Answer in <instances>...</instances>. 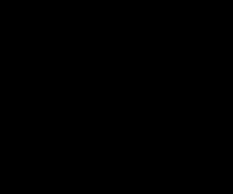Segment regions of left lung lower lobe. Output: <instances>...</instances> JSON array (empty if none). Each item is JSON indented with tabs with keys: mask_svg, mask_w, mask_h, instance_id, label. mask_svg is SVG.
<instances>
[{
	"mask_svg": "<svg viewBox=\"0 0 233 194\" xmlns=\"http://www.w3.org/2000/svg\"><path fill=\"white\" fill-rule=\"evenodd\" d=\"M180 157L179 152H159L155 159L151 161V165L156 169H162L172 162H175Z\"/></svg>",
	"mask_w": 233,
	"mask_h": 194,
	"instance_id": "obj_1",
	"label": "left lung lower lobe"
}]
</instances>
